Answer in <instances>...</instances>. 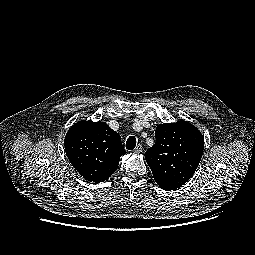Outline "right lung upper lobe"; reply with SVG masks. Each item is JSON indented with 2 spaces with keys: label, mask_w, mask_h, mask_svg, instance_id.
I'll return each mask as SVG.
<instances>
[{
  "label": "right lung upper lobe",
  "mask_w": 255,
  "mask_h": 255,
  "mask_svg": "<svg viewBox=\"0 0 255 255\" xmlns=\"http://www.w3.org/2000/svg\"><path fill=\"white\" fill-rule=\"evenodd\" d=\"M66 155L85 179L99 183L117 169L121 155L126 154L120 135L106 123L79 121L64 139Z\"/></svg>",
  "instance_id": "right-lung-upper-lobe-1"
}]
</instances>
